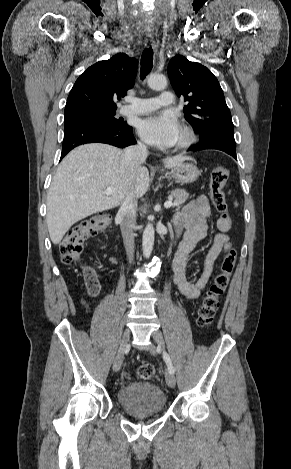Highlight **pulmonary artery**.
Segmentation results:
<instances>
[{"instance_id":"pulmonary-artery-1","label":"pulmonary artery","mask_w":291,"mask_h":469,"mask_svg":"<svg viewBox=\"0 0 291 469\" xmlns=\"http://www.w3.org/2000/svg\"><path fill=\"white\" fill-rule=\"evenodd\" d=\"M130 104L122 107L123 115L145 114L152 112L160 107H168L173 103V94L169 91H163L159 96L153 98H132Z\"/></svg>"}]
</instances>
